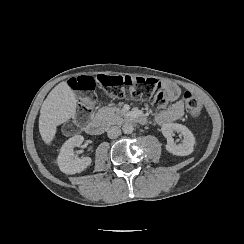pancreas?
Listing matches in <instances>:
<instances>
[{
	"label": "pancreas",
	"instance_id": "pancreas-1",
	"mask_svg": "<svg viewBox=\"0 0 244 244\" xmlns=\"http://www.w3.org/2000/svg\"><path fill=\"white\" fill-rule=\"evenodd\" d=\"M125 111L117 107H102L95 115V119H102L105 121L120 124L123 122V115Z\"/></svg>",
	"mask_w": 244,
	"mask_h": 244
}]
</instances>
